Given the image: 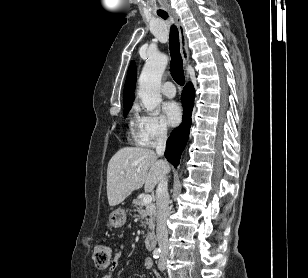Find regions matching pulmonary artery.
I'll list each match as a JSON object with an SVG mask.
<instances>
[{
    "label": "pulmonary artery",
    "instance_id": "e3ab8cb5",
    "mask_svg": "<svg viewBox=\"0 0 308 278\" xmlns=\"http://www.w3.org/2000/svg\"><path fill=\"white\" fill-rule=\"evenodd\" d=\"M161 90L162 93L168 98L174 97L176 93L175 86L172 82L164 83Z\"/></svg>",
    "mask_w": 308,
    "mask_h": 278
}]
</instances>
